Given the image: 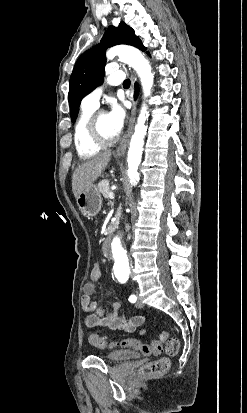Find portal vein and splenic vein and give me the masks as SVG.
I'll return each mask as SVG.
<instances>
[{"label":"portal vein and splenic vein","mask_w":247,"mask_h":413,"mask_svg":"<svg viewBox=\"0 0 247 413\" xmlns=\"http://www.w3.org/2000/svg\"><path fill=\"white\" fill-rule=\"evenodd\" d=\"M108 196H109V198H115L114 192H108Z\"/></svg>","instance_id":"18ae733b"}]
</instances>
